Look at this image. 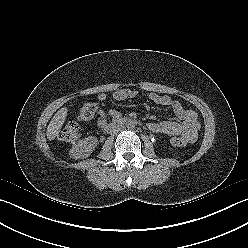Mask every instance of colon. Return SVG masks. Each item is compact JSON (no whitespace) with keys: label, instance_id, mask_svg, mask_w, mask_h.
Returning a JSON list of instances; mask_svg holds the SVG:
<instances>
[{"label":"colon","instance_id":"5ec220e1","mask_svg":"<svg viewBox=\"0 0 248 248\" xmlns=\"http://www.w3.org/2000/svg\"><path fill=\"white\" fill-rule=\"evenodd\" d=\"M98 109L96 103L90 102L85 104L79 109L78 118L80 120L86 121L94 117ZM59 137L62 141L67 143H73L77 141L80 137L79 125L76 122H69L61 130ZM171 145L175 147L185 146L188 142L183 137H173L170 139Z\"/></svg>","mask_w":248,"mask_h":248}]
</instances>
